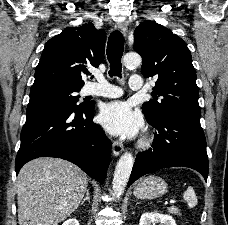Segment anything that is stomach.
<instances>
[{
  "mask_svg": "<svg viewBox=\"0 0 228 225\" xmlns=\"http://www.w3.org/2000/svg\"><path fill=\"white\" fill-rule=\"evenodd\" d=\"M165 193H167V185L164 179L154 177V175L139 181L134 189V195L137 199H158Z\"/></svg>",
  "mask_w": 228,
  "mask_h": 225,
  "instance_id": "obj_1",
  "label": "stomach"
}]
</instances>
